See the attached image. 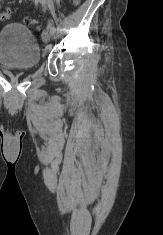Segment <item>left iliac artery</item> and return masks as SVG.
Masks as SVG:
<instances>
[{
  "label": "left iliac artery",
  "mask_w": 163,
  "mask_h": 235,
  "mask_svg": "<svg viewBox=\"0 0 163 235\" xmlns=\"http://www.w3.org/2000/svg\"><path fill=\"white\" fill-rule=\"evenodd\" d=\"M35 1H39L42 5H45L46 4V0H35ZM48 29H50L51 31H54L55 30V26L53 24V22H50L48 23Z\"/></svg>",
  "instance_id": "44dca946"
}]
</instances>
